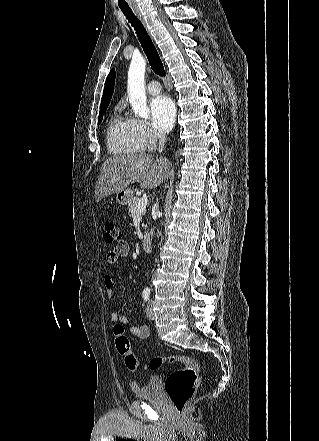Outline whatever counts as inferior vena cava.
Returning a JSON list of instances; mask_svg holds the SVG:
<instances>
[{"instance_id": "1", "label": "inferior vena cava", "mask_w": 319, "mask_h": 441, "mask_svg": "<svg viewBox=\"0 0 319 441\" xmlns=\"http://www.w3.org/2000/svg\"><path fill=\"white\" fill-rule=\"evenodd\" d=\"M158 138H159L158 151L161 153L165 146L166 136L164 134H159Z\"/></svg>"}]
</instances>
